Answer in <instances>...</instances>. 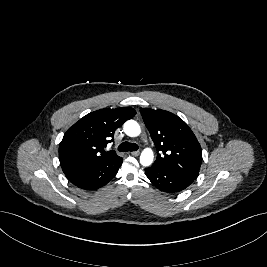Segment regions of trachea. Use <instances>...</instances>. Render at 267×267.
Returning a JSON list of instances; mask_svg holds the SVG:
<instances>
[{"label": "trachea", "mask_w": 267, "mask_h": 267, "mask_svg": "<svg viewBox=\"0 0 267 267\" xmlns=\"http://www.w3.org/2000/svg\"><path fill=\"white\" fill-rule=\"evenodd\" d=\"M138 145L136 143L123 142L118 146V151L128 152V151H137Z\"/></svg>", "instance_id": "obj_1"}]
</instances>
